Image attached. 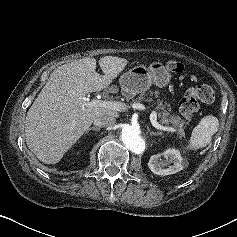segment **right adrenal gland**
I'll list each match as a JSON object with an SVG mask.
<instances>
[{
	"label": "right adrenal gland",
	"instance_id": "1",
	"mask_svg": "<svg viewBox=\"0 0 237 237\" xmlns=\"http://www.w3.org/2000/svg\"><path fill=\"white\" fill-rule=\"evenodd\" d=\"M91 130H93V131H99L100 128H98V127H90V128H88V129L85 131V134L89 133V131H91Z\"/></svg>",
	"mask_w": 237,
	"mask_h": 237
}]
</instances>
